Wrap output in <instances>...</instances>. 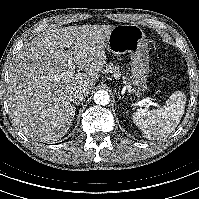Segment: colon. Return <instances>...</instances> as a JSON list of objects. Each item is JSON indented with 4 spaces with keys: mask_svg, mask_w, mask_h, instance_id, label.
<instances>
[{
    "mask_svg": "<svg viewBox=\"0 0 199 199\" xmlns=\"http://www.w3.org/2000/svg\"><path fill=\"white\" fill-rule=\"evenodd\" d=\"M151 62H152V64H155V63H156L155 57H152V58H151Z\"/></svg>",
    "mask_w": 199,
    "mask_h": 199,
    "instance_id": "1",
    "label": "colon"
}]
</instances>
